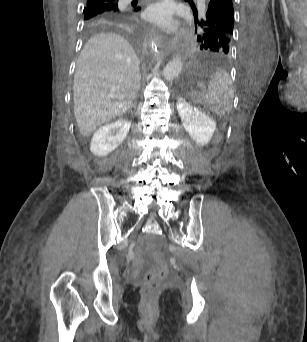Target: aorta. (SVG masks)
Returning <instances> with one entry per match:
<instances>
[{"instance_id":"1","label":"aorta","mask_w":307,"mask_h":342,"mask_svg":"<svg viewBox=\"0 0 307 342\" xmlns=\"http://www.w3.org/2000/svg\"><path fill=\"white\" fill-rule=\"evenodd\" d=\"M182 66V58H174V60L169 62V64H167L166 68L163 70L164 80H172V78L178 76L179 72L182 70Z\"/></svg>"}]
</instances>
